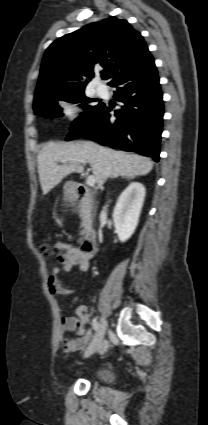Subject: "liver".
Instances as JSON below:
<instances>
[{
    "mask_svg": "<svg viewBox=\"0 0 208 425\" xmlns=\"http://www.w3.org/2000/svg\"><path fill=\"white\" fill-rule=\"evenodd\" d=\"M61 159H78L88 162L99 187H102L110 177L133 178L146 175L153 168V161L147 157L115 151L90 141L50 142L43 146L37 157L39 180L44 195L69 174L83 171L79 163L70 162L59 165Z\"/></svg>",
    "mask_w": 208,
    "mask_h": 425,
    "instance_id": "obj_1",
    "label": "liver"
}]
</instances>
